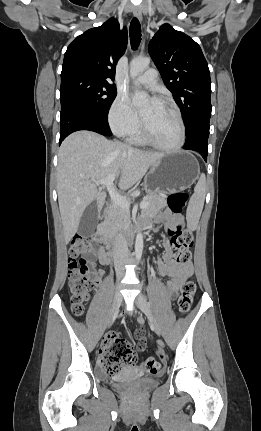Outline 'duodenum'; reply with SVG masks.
I'll use <instances>...</instances> for the list:
<instances>
[{
  "label": "duodenum",
  "instance_id": "obj_1",
  "mask_svg": "<svg viewBox=\"0 0 261 431\" xmlns=\"http://www.w3.org/2000/svg\"><path fill=\"white\" fill-rule=\"evenodd\" d=\"M105 210L106 208H104V211ZM137 231H138V228H134V227L129 228L125 233V239L127 241H131L134 238ZM95 238L107 251V255L111 260L112 254L114 253L116 240L109 235V233L106 231L105 226L102 222L98 225V230Z\"/></svg>",
  "mask_w": 261,
  "mask_h": 431
}]
</instances>
